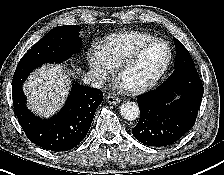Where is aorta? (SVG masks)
<instances>
[{
    "label": "aorta",
    "instance_id": "aorta-1",
    "mask_svg": "<svg viewBox=\"0 0 224 175\" xmlns=\"http://www.w3.org/2000/svg\"><path fill=\"white\" fill-rule=\"evenodd\" d=\"M121 116L129 121L135 120L140 115V109L135 102L125 101L120 106Z\"/></svg>",
    "mask_w": 224,
    "mask_h": 175
}]
</instances>
